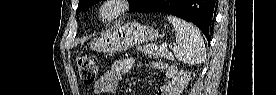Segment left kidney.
Instances as JSON below:
<instances>
[{"label": "left kidney", "mask_w": 277, "mask_h": 95, "mask_svg": "<svg viewBox=\"0 0 277 95\" xmlns=\"http://www.w3.org/2000/svg\"><path fill=\"white\" fill-rule=\"evenodd\" d=\"M187 77L186 72H180L178 73L177 71L175 72L174 79L172 80V83L169 84L168 86V93H173V92H178L181 90V88L184 86V81Z\"/></svg>", "instance_id": "1"}]
</instances>
